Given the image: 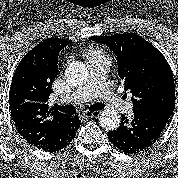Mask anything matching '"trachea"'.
Instances as JSON below:
<instances>
[{"instance_id": "3493384b", "label": "trachea", "mask_w": 178, "mask_h": 178, "mask_svg": "<svg viewBox=\"0 0 178 178\" xmlns=\"http://www.w3.org/2000/svg\"><path fill=\"white\" fill-rule=\"evenodd\" d=\"M104 107H105V105L101 103V104H93V105L87 106L86 109L91 112H94V111L103 109ZM55 108L64 112V113H68V114H76V112H77L76 107L73 105L59 106V105L55 104Z\"/></svg>"}]
</instances>
